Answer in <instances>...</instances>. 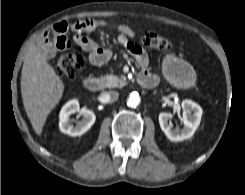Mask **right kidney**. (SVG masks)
<instances>
[{
	"instance_id": "1",
	"label": "right kidney",
	"mask_w": 245,
	"mask_h": 195,
	"mask_svg": "<svg viewBox=\"0 0 245 195\" xmlns=\"http://www.w3.org/2000/svg\"><path fill=\"white\" fill-rule=\"evenodd\" d=\"M78 113L82 120L74 126L72 124V114ZM59 128L61 132L70 136H81L94 124L96 116L93 111L88 109H79V102L76 99L68 101L61 109L59 114Z\"/></svg>"
}]
</instances>
